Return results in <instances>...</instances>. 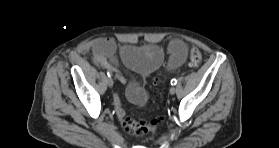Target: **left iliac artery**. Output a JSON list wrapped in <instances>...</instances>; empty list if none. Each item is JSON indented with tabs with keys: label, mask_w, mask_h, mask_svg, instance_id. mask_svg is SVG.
<instances>
[{
	"label": "left iliac artery",
	"mask_w": 279,
	"mask_h": 148,
	"mask_svg": "<svg viewBox=\"0 0 279 148\" xmlns=\"http://www.w3.org/2000/svg\"><path fill=\"white\" fill-rule=\"evenodd\" d=\"M177 84V80L174 78L171 80V85H176Z\"/></svg>",
	"instance_id": "obj_1"
}]
</instances>
